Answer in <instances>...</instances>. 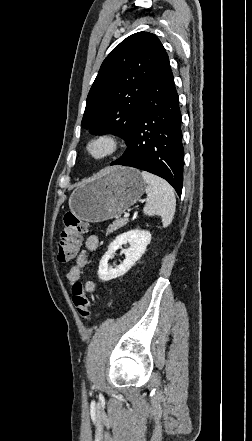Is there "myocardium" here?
I'll use <instances>...</instances> for the list:
<instances>
[{
    "instance_id": "obj_1",
    "label": "myocardium",
    "mask_w": 252,
    "mask_h": 441,
    "mask_svg": "<svg viewBox=\"0 0 252 441\" xmlns=\"http://www.w3.org/2000/svg\"><path fill=\"white\" fill-rule=\"evenodd\" d=\"M104 145V151L100 154L93 152L94 146ZM120 149V140L112 132H103L92 137L86 144L85 151L87 156L94 161H104L113 157Z\"/></svg>"
}]
</instances>
